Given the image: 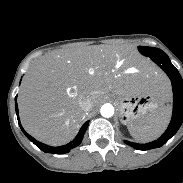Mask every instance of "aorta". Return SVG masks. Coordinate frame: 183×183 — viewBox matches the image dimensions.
Here are the masks:
<instances>
[{
  "label": "aorta",
  "mask_w": 183,
  "mask_h": 183,
  "mask_svg": "<svg viewBox=\"0 0 183 183\" xmlns=\"http://www.w3.org/2000/svg\"><path fill=\"white\" fill-rule=\"evenodd\" d=\"M100 113L103 117L105 118H110L113 116L114 114V107L113 105H111L110 103H106L104 104L101 109H100Z\"/></svg>",
  "instance_id": "aorta-1"
}]
</instances>
